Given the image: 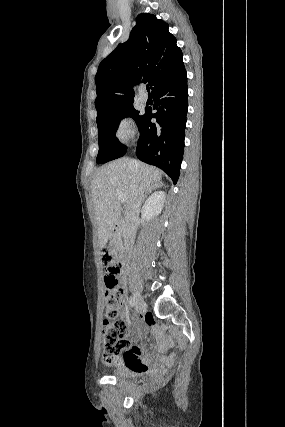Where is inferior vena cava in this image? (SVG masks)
Instances as JSON below:
<instances>
[{"mask_svg":"<svg viewBox=\"0 0 285 427\" xmlns=\"http://www.w3.org/2000/svg\"><path fill=\"white\" fill-rule=\"evenodd\" d=\"M136 181V189L125 209V239L128 246L133 244V238L139 221L140 207L143 202L145 192L140 175L136 176Z\"/></svg>","mask_w":285,"mask_h":427,"instance_id":"1","label":"inferior vena cava"}]
</instances>
